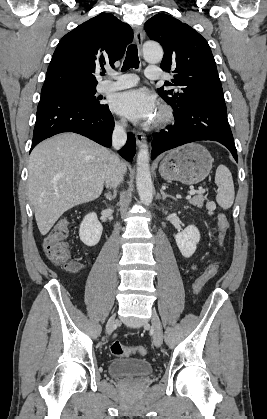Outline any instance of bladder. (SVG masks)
I'll return each instance as SVG.
<instances>
[{"label": "bladder", "mask_w": 267, "mask_h": 419, "mask_svg": "<svg viewBox=\"0 0 267 419\" xmlns=\"http://www.w3.org/2000/svg\"><path fill=\"white\" fill-rule=\"evenodd\" d=\"M107 371L113 377H144L153 373V366L146 359L123 358L111 361L107 366Z\"/></svg>", "instance_id": "bladder-1"}]
</instances>
